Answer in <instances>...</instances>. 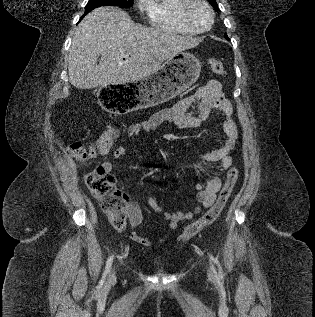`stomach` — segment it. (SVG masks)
Here are the masks:
<instances>
[{
    "instance_id": "1",
    "label": "stomach",
    "mask_w": 315,
    "mask_h": 317,
    "mask_svg": "<svg viewBox=\"0 0 315 317\" xmlns=\"http://www.w3.org/2000/svg\"><path fill=\"white\" fill-rule=\"evenodd\" d=\"M201 63L193 54L180 52L168 59L155 74L133 84H104L101 104L111 114H130L160 105L181 94L200 76Z\"/></svg>"
}]
</instances>
